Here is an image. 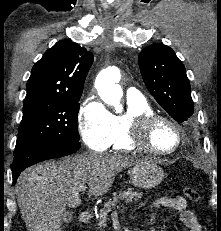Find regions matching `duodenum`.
<instances>
[{
  "label": "duodenum",
  "instance_id": "1",
  "mask_svg": "<svg viewBox=\"0 0 221 231\" xmlns=\"http://www.w3.org/2000/svg\"><path fill=\"white\" fill-rule=\"evenodd\" d=\"M91 217H92L91 213L88 210H84L79 215V221L84 224L89 223L91 220Z\"/></svg>",
  "mask_w": 221,
  "mask_h": 231
}]
</instances>
